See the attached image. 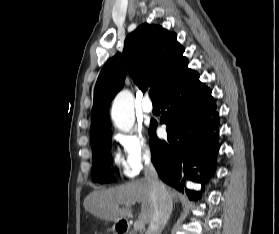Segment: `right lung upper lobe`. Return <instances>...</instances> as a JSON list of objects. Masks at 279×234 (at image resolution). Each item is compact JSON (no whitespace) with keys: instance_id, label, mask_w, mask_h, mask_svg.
I'll use <instances>...</instances> for the list:
<instances>
[{"instance_id":"cb5924a9","label":"right lung upper lobe","mask_w":279,"mask_h":234,"mask_svg":"<svg viewBox=\"0 0 279 234\" xmlns=\"http://www.w3.org/2000/svg\"><path fill=\"white\" fill-rule=\"evenodd\" d=\"M183 53L177 34L159 25L145 23L130 33L123 54L110 58L97 79L91 115V145L111 134L108 109L124 85V67L142 91L155 86L161 96L187 69L188 61Z\"/></svg>"}]
</instances>
